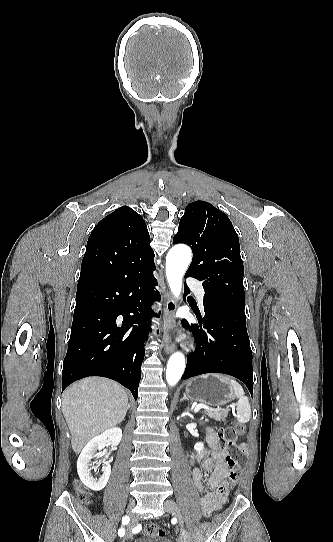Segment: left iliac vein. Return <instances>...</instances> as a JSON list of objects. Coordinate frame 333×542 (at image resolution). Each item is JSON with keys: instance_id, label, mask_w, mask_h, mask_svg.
I'll use <instances>...</instances> for the list:
<instances>
[{"instance_id": "obj_1", "label": "left iliac vein", "mask_w": 333, "mask_h": 542, "mask_svg": "<svg viewBox=\"0 0 333 542\" xmlns=\"http://www.w3.org/2000/svg\"><path fill=\"white\" fill-rule=\"evenodd\" d=\"M164 506L167 512L172 513L180 521L182 535L180 536L178 542H190V539L187 535V532L184 528V524L182 521V515H181L182 513L177 503L173 500H166Z\"/></svg>"}]
</instances>
